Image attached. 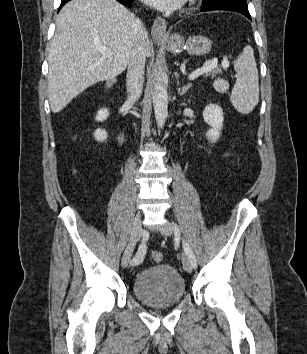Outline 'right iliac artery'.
I'll use <instances>...</instances> for the list:
<instances>
[{"label": "right iliac artery", "instance_id": "obj_1", "mask_svg": "<svg viewBox=\"0 0 307 354\" xmlns=\"http://www.w3.org/2000/svg\"><path fill=\"white\" fill-rule=\"evenodd\" d=\"M146 253V245L144 242H142L139 245L138 251L136 253V255L133 257V259L131 260L130 264L135 266L138 265L139 263H141L143 261V258L145 256Z\"/></svg>", "mask_w": 307, "mask_h": 354}]
</instances>
